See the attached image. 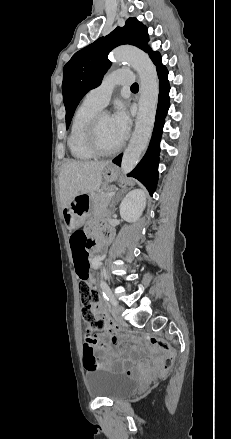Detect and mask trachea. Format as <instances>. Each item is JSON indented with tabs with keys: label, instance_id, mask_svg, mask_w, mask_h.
<instances>
[{
	"label": "trachea",
	"instance_id": "1",
	"mask_svg": "<svg viewBox=\"0 0 231 439\" xmlns=\"http://www.w3.org/2000/svg\"><path fill=\"white\" fill-rule=\"evenodd\" d=\"M138 84L137 83H134L132 86H131V89H137L138 90Z\"/></svg>",
	"mask_w": 231,
	"mask_h": 439
}]
</instances>
